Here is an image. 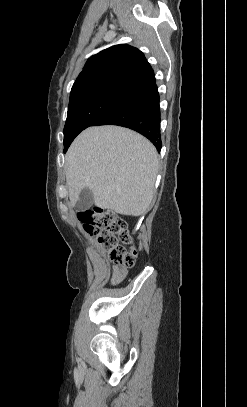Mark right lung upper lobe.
Returning a JSON list of instances; mask_svg holds the SVG:
<instances>
[{
    "label": "right lung upper lobe",
    "instance_id": "cb5924a9",
    "mask_svg": "<svg viewBox=\"0 0 247 407\" xmlns=\"http://www.w3.org/2000/svg\"><path fill=\"white\" fill-rule=\"evenodd\" d=\"M155 82L144 54L127 44L115 45L90 57L73 84L69 103L111 87L140 90Z\"/></svg>",
    "mask_w": 247,
    "mask_h": 407
}]
</instances>
